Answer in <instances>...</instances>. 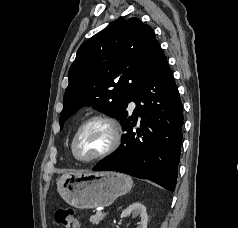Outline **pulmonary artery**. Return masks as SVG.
<instances>
[{
    "label": "pulmonary artery",
    "instance_id": "obj_1",
    "mask_svg": "<svg viewBox=\"0 0 238 228\" xmlns=\"http://www.w3.org/2000/svg\"><path fill=\"white\" fill-rule=\"evenodd\" d=\"M130 109H131V110L136 109V103H135V102H131V103H130Z\"/></svg>",
    "mask_w": 238,
    "mask_h": 228
}]
</instances>
